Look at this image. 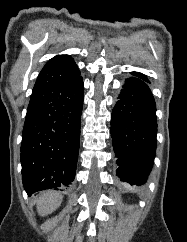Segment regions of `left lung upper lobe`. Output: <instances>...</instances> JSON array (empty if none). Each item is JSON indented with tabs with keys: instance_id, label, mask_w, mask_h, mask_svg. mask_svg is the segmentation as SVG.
<instances>
[{
	"instance_id": "5c2ea615",
	"label": "left lung upper lobe",
	"mask_w": 187,
	"mask_h": 242,
	"mask_svg": "<svg viewBox=\"0 0 187 242\" xmlns=\"http://www.w3.org/2000/svg\"><path fill=\"white\" fill-rule=\"evenodd\" d=\"M132 75L140 77V78L144 79L145 81L149 82L147 77L144 74L140 73V72H132Z\"/></svg>"
}]
</instances>
